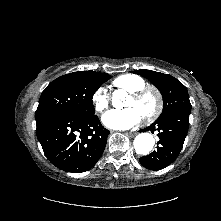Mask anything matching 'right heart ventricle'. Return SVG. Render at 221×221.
Segmentation results:
<instances>
[{"label":"right heart ventricle","instance_id":"1","mask_svg":"<svg viewBox=\"0 0 221 221\" xmlns=\"http://www.w3.org/2000/svg\"><path fill=\"white\" fill-rule=\"evenodd\" d=\"M113 85L127 92H133L144 87L146 85V81L142 77L135 74H124L118 76L113 81Z\"/></svg>","mask_w":221,"mask_h":221}]
</instances>
